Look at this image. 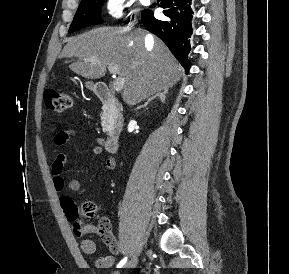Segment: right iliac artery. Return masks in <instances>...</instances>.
<instances>
[{
    "mask_svg": "<svg viewBox=\"0 0 289 274\" xmlns=\"http://www.w3.org/2000/svg\"><path fill=\"white\" fill-rule=\"evenodd\" d=\"M127 261V257L123 258L117 265V268H122Z\"/></svg>",
    "mask_w": 289,
    "mask_h": 274,
    "instance_id": "82829eb1",
    "label": "right iliac artery"
}]
</instances>
